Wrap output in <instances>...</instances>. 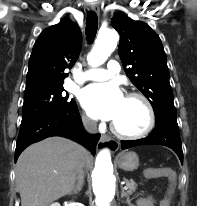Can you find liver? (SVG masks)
Listing matches in <instances>:
<instances>
[{"label":"liver","instance_id":"liver-1","mask_svg":"<svg viewBox=\"0 0 197 206\" xmlns=\"http://www.w3.org/2000/svg\"><path fill=\"white\" fill-rule=\"evenodd\" d=\"M83 162L90 167V153L63 137H49L26 148L16 164L21 206H48L70 194Z\"/></svg>","mask_w":197,"mask_h":206}]
</instances>
